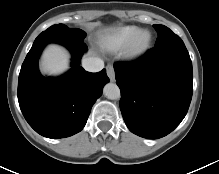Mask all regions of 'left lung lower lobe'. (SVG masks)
<instances>
[{
	"label": "left lung lower lobe",
	"instance_id": "obj_1",
	"mask_svg": "<svg viewBox=\"0 0 219 174\" xmlns=\"http://www.w3.org/2000/svg\"><path fill=\"white\" fill-rule=\"evenodd\" d=\"M120 109L134 134L158 139L184 119L193 93L192 62L185 45L154 47L141 59L114 64Z\"/></svg>",
	"mask_w": 219,
	"mask_h": 174
}]
</instances>
